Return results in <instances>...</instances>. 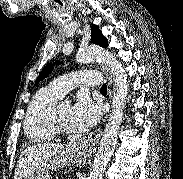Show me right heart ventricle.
<instances>
[{"instance_id":"e07e8e85","label":"right heart ventricle","mask_w":183,"mask_h":179,"mask_svg":"<svg viewBox=\"0 0 183 179\" xmlns=\"http://www.w3.org/2000/svg\"><path fill=\"white\" fill-rule=\"evenodd\" d=\"M61 97L50 87L40 89L33 96L24 122V131L30 140L45 142L54 138L55 132L51 125V114Z\"/></svg>"}]
</instances>
